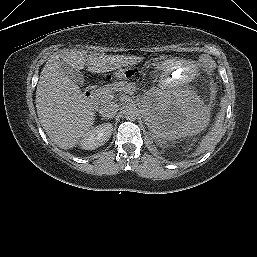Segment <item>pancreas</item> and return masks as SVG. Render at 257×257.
<instances>
[{
	"mask_svg": "<svg viewBox=\"0 0 257 257\" xmlns=\"http://www.w3.org/2000/svg\"><path fill=\"white\" fill-rule=\"evenodd\" d=\"M122 88H129L131 90L135 89V86L133 83L127 82V81H119L115 82L113 84L104 85L101 88L98 89L96 92V101L98 103H106L110 101L111 95Z\"/></svg>",
	"mask_w": 257,
	"mask_h": 257,
	"instance_id": "obj_1",
	"label": "pancreas"
}]
</instances>
